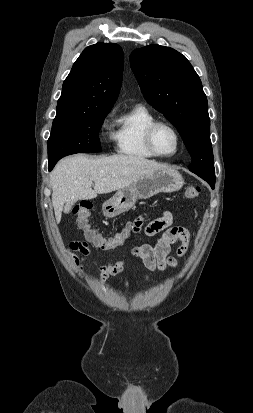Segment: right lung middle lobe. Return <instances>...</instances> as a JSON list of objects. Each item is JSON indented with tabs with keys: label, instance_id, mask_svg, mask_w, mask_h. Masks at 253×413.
Wrapping results in <instances>:
<instances>
[{
	"label": "right lung middle lobe",
	"instance_id": "obj_1",
	"mask_svg": "<svg viewBox=\"0 0 253 413\" xmlns=\"http://www.w3.org/2000/svg\"><path fill=\"white\" fill-rule=\"evenodd\" d=\"M109 112L105 110L92 115L55 117L48 139L49 162H57L75 153L100 152L98 131Z\"/></svg>",
	"mask_w": 253,
	"mask_h": 413
}]
</instances>
